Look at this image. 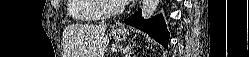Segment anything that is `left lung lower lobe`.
I'll use <instances>...</instances> for the list:
<instances>
[{
	"label": "left lung lower lobe",
	"mask_w": 249,
	"mask_h": 57,
	"mask_svg": "<svg viewBox=\"0 0 249 57\" xmlns=\"http://www.w3.org/2000/svg\"><path fill=\"white\" fill-rule=\"evenodd\" d=\"M124 22L148 33L164 47L168 46L169 32L167 31L162 15H158L149 20H144L142 11L139 9L131 17L125 19Z\"/></svg>",
	"instance_id": "obj_1"
}]
</instances>
